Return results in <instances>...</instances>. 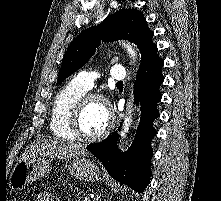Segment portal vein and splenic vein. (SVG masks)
Masks as SVG:
<instances>
[{
  "mask_svg": "<svg viewBox=\"0 0 221 201\" xmlns=\"http://www.w3.org/2000/svg\"><path fill=\"white\" fill-rule=\"evenodd\" d=\"M83 201H90V198L89 197H84Z\"/></svg>",
  "mask_w": 221,
  "mask_h": 201,
  "instance_id": "portal-vein-and-splenic-vein-1",
  "label": "portal vein and splenic vein"
}]
</instances>
